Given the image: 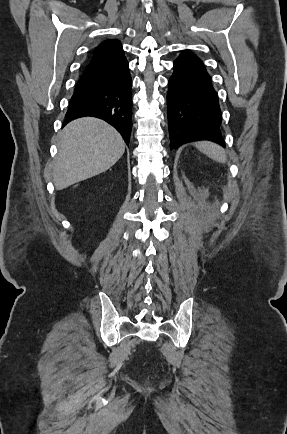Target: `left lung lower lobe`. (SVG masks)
<instances>
[{
	"label": "left lung lower lobe",
	"instance_id": "obj_1",
	"mask_svg": "<svg viewBox=\"0 0 287 434\" xmlns=\"http://www.w3.org/2000/svg\"><path fill=\"white\" fill-rule=\"evenodd\" d=\"M173 69L167 94L170 149L199 140L225 146L218 95L203 62L185 52Z\"/></svg>",
	"mask_w": 287,
	"mask_h": 434
}]
</instances>
